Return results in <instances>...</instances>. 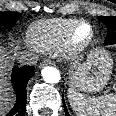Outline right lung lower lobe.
<instances>
[{"label":"right lung lower lobe","mask_w":116,"mask_h":116,"mask_svg":"<svg viewBox=\"0 0 116 116\" xmlns=\"http://www.w3.org/2000/svg\"><path fill=\"white\" fill-rule=\"evenodd\" d=\"M33 75L34 67L32 66L13 67L11 81L17 100L12 110L6 116H24L27 102L26 86Z\"/></svg>","instance_id":"right-lung-lower-lobe-1"}]
</instances>
